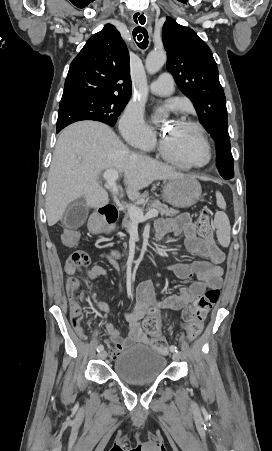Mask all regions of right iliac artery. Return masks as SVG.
<instances>
[{"instance_id":"82829eb1","label":"right iliac artery","mask_w":272,"mask_h":451,"mask_svg":"<svg viewBox=\"0 0 272 451\" xmlns=\"http://www.w3.org/2000/svg\"><path fill=\"white\" fill-rule=\"evenodd\" d=\"M104 349V346L102 344L98 345L97 352H100Z\"/></svg>"}]
</instances>
